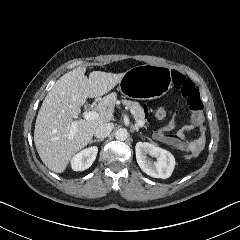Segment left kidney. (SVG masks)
I'll use <instances>...</instances> for the list:
<instances>
[{"mask_svg": "<svg viewBox=\"0 0 240 240\" xmlns=\"http://www.w3.org/2000/svg\"><path fill=\"white\" fill-rule=\"evenodd\" d=\"M135 148L137 163L143 172L162 179L172 176L176 167V159L171 152L147 142H137ZM147 155L156 157L155 163L148 161Z\"/></svg>", "mask_w": 240, "mask_h": 240, "instance_id": "5707ae66", "label": "left kidney"}]
</instances>
